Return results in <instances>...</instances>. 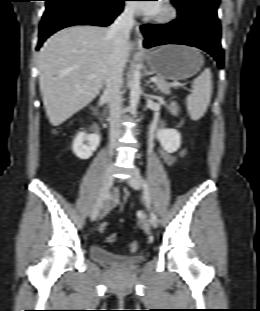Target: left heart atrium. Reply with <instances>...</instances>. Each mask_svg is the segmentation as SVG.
<instances>
[{"instance_id": "obj_1", "label": "left heart atrium", "mask_w": 260, "mask_h": 311, "mask_svg": "<svg viewBox=\"0 0 260 311\" xmlns=\"http://www.w3.org/2000/svg\"><path fill=\"white\" fill-rule=\"evenodd\" d=\"M159 1H146V2H156V3H150V4L144 3V2H134L132 6L134 10L137 11L138 13H142L146 15H155L158 12L159 7H160Z\"/></svg>"}]
</instances>
